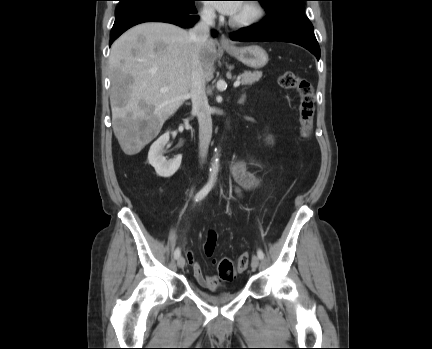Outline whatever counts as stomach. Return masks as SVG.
Masks as SVG:
<instances>
[{"label": "stomach", "mask_w": 432, "mask_h": 349, "mask_svg": "<svg viewBox=\"0 0 432 349\" xmlns=\"http://www.w3.org/2000/svg\"><path fill=\"white\" fill-rule=\"evenodd\" d=\"M226 52L244 65L254 69L262 68L268 63V54L258 45L226 48Z\"/></svg>", "instance_id": "0dacf381"}]
</instances>
